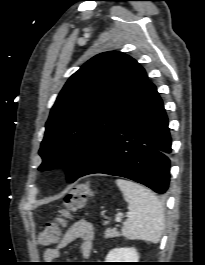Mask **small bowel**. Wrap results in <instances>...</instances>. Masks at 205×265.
Masks as SVG:
<instances>
[{
    "label": "small bowel",
    "mask_w": 205,
    "mask_h": 265,
    "mask_svg": "<svg viewBox=\"0 0 205 265\" xmlns=\"http://www.w3.org/2000/svg\"><path fill=\"white\" fill-rule=\"evenodd\" d=\"M77 239L81 241L80 251L82 256L88 258L92 251L94 228L90 222L78 220L68 228L55 247L45 250L44 259L49 262L57 260L60 257L61 250Z\"/></svg>",
    "instance_id": "1"
}]
</instances>
